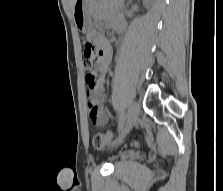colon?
I'll use <instances>...</instances> for the list:
<instances>
[{
    "mask_svg": "<svg viewBox=\"0 0 223 191\" xmlns=\"http://www.w3.org/2000/svg\"><path fill=\"white\" fill-rule=\"evenodd\" d=\"M98 60V52L95 46L90 42H86L84 48L83 68L86 72V82L91 88L97 85L96 79V63ZM112 136L109 132L95 133L92 138V144L97 149L105 148L111 141Z\"/></svg>",
    "mask_w": 223,
    "mask_h": 191,
    "instance_id": "1",
    "label": "colon"
}]
</instances>
